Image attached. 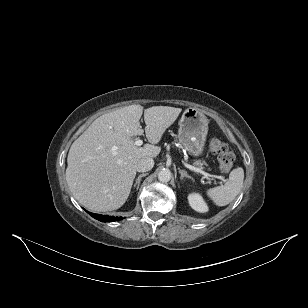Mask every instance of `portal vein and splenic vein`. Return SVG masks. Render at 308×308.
Wrapping results in <instances>:
<instances>
[{"label":"portal vein and splenic vein","mask_w":308,"mask_h":308,"mask_svg":"<svg viewBox=\"0 0 308 308\" xmlns=\"http://www.w3.org/2000/svg\"><path fill=\"white\" fill-rule=\"evenodd\" d=\"M134 143H135L136 146H141L143 144V141L141 139H137ZM184 165L187 168H189L191 171H194L196 173H200V174H202L204 176V178L210 180L211 175H209L208 173H206L202 169H200L198 167H195V166H192V165H189L187 163H184Z\"/></svg>","instance_id":"obj_1"}]
</instances>
